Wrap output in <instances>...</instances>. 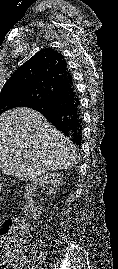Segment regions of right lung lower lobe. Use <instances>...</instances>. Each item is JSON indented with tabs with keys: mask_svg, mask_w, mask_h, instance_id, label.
<instances>
[{
	"mask_svg": "<svg viewBox=\"0 0 118 269\" xmlns=\"http://www.w3.org/2000/svg\"><path fill=\"white\" fill-rule=\"evenodd\" d=\"M28 107L43 114L49 122L80 147L82 142V116L80 101L73 84Z\"/></svg>",
	"mask_w": 118,
	"mask_h": 269,
	"instance_id": "right-lung-lower-lobe-1",
	"label": "right lung lower lobe"
}]
</instances>
